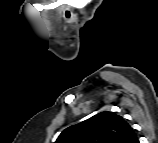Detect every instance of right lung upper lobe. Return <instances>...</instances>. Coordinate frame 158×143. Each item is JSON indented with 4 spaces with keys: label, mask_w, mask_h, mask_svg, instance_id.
<instances>
[{
    "label": "right lung upper lobe",
    "mask_w": 158,
    "mask_h": 143,
    "mask_svg": "<svg viewBox=\"0 0 158 143\" xmlns=\"http://www.w3.org/2000/svg\"><path fill=\"white\" fill-rule=\"evenodd\" d=\"M55 143H138V138L125 119L105 111L68 127Z\"/></svg>",
    "instance_id": "obj_1"
}]
</instances>
